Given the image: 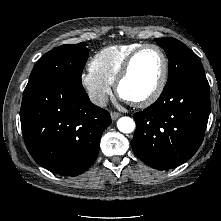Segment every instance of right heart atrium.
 I'll list each match as a JSON object with an SVG mask.
<instances>
[{
    "mask_svg": "<svg viewBox=\"0 0 221 221\" xmlns=\"http://www.w3.org/2000/svg\"><path fill=\"white\" fill-rule=\"evenodd\" d=\"M81 84L89 99L97 106H104L112 93V85L95 74L90 68L80 77Z\"/></svg>",
    "mask_w": 221,
    "mask_h": 221,
    "instance_id": "obj_1",
    "label": "right heart atrium"
}]
</instances>
